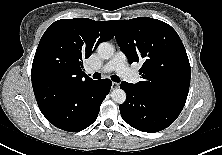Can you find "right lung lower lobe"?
I'll return each mask as SVG.
<instances>
[{
	"label": "right lung lower lobe",
	"mask_w": 222,
	"mask_h": 155,
	"mask_svg": "<svg viewBox=\"0 0 222 155\" xmlns=\"http://www.w3.org/2000/svg\"><path fill=\"white\" fill-rule=\"evenodd\" d=\"M111 85L109 79L93 80L65 91L44 85L34 89V94L42 114L51 124L65 131L79 132L96 120Z\"/></svg>",
	"instance_id": "98d812e1"
}]
</instances>
